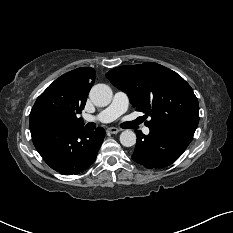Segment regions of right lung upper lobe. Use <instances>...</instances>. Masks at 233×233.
Wrapping results in <instances>:
<instances>
[{
  "instance_id": "cb5924a9",
  "label": "right lung upper lobe",
  "mask_w": 233,
  "mask_h": 233,
  "mask_svg": "<svg viewBox=\"0 0 233 233\" xmlns=\"http://www.w3.org/2000/svg\"><path fill=\"white\" fill-rule=\"evenodd\" d=\"M95 80V70L82 67L57 78L36 100L29 116L30 129L47 119H55L61 128L83 127L76 114L84 108Z\"/></svg>"
}]
</instances>
